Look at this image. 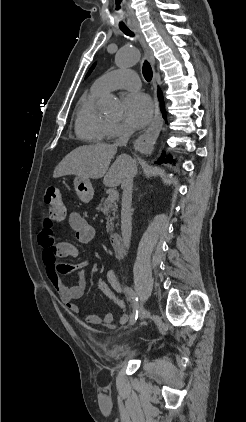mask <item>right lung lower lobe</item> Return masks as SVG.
Instances as JSON below:
<instances>
[{
	"mask_svg": "<svg viewBox=\"0 0 246 422\" xmlns=\"http://www.w3.org/2000/svg\"><path fill=\"white\" fill-rule=\"evenodd\" d=\"M158 96H159V100L161 102V112L163 113V118L166 120V115H165V107H164V102H163V96H162V92L159 90L158 91ZM171 156H167V158H164V154L161 155V157L158 159V161L156 163L161 164V163H171L172 161Z\"/></svg>",
	"mask_w": 246,
	"mask_h": 422,
	"instance_id": "98d812e1",
	"label": "right lung lower lobe"
}]
</instances>
